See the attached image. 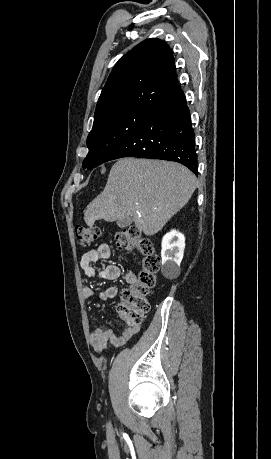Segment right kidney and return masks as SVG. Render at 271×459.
<instances>
[{
  "mask_svg": "<svg viewBox=\"0 0 271 459\" xmlns=\"http://www.w3.org/2000/svg\"><path fill=\"white\" fill-rule=\"evenodd\" d=\"M185 247V237L177 229H171L163 235L162 239V267L161 271L168 279L178 277L180 273V263L182 261Z\"/></svg>",
  "mask_w": 271,
  "mask_h": 459,
  "instance_id": "obj_1",
  "label": "right kidney"
}]
</instances>
